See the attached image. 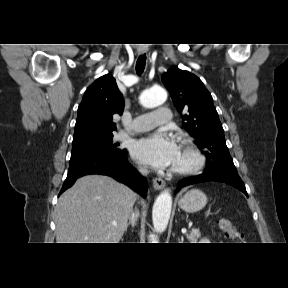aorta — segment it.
Here are the masks:
<instances>
[{
  "mask_svg": "<svg viewBox=\"0 0 288 288\" xmlns=\"http://www.w3.org/2000/svg\"><path fill=\"white\" fill-rule=\"evenodd\" d=\"M167 93L163 88L145 90L139 97L143 107L153 108L163 104ZM172 208V197L168 191H163L155 200L152 209V221L155 231L163 232L167 228Z\"/></svg>",
  "mask_w": 288,
  "mask_h": 288,
  "instance_id": "762f6f07",
  "label": "aorta"
}]
</instances>
